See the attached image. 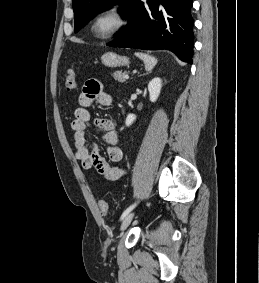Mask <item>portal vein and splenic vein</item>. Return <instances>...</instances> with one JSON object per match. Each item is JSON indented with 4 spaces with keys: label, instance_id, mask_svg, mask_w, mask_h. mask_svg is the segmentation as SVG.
<instances>
[{
    "label": "portal vein and splenic vein",
    "instance_id": "portal-vein-and-splenic-vein-1",
    "mask_svg": "<svg viewBox=\"0 0 259 283\" xmlns=\"http://www.w3.org/2000/svg\"><path fill=\"white\" fill-rule=\"evenodd\" d=\"M124 77H125V79H129V75H127V74Z\"/></svg>",
    "mask_w": 259,
    "mask_h": 283
}]
</instances>
